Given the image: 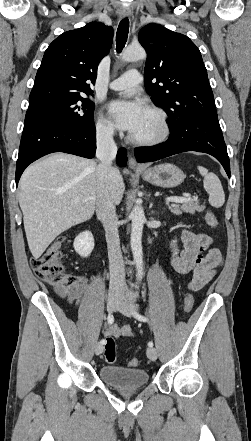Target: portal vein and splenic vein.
Wrapping results in <instances>:
<instances>
[{
	"label": "portal vein and splenic vein",
	"instance_id": "1",
	"mask_svg": "<svg viewBox=\"0 0 251 441\" xmlns=\"http://www.w3.org/2000/svg\"><path fill=\"white\" fill-rule=\"evenodd\" d=\"M191 200L190 197H177V196H173V197H167L166 198V202H174V203H183L186 201Z\"/></svg>",
	"mask_w": 251,
	"mask_h": 441
}]
</instances>
